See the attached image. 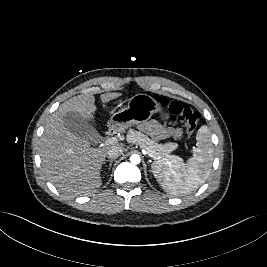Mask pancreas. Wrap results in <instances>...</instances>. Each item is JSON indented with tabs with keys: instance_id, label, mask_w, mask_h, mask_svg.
I'll list each match as a JSON object with an SVG mask.
<instances>
[{
	"instance_id": "1",
	"label": "pancreas",
	"mask_w": 267,
	"mask_h": 267,
	"mask_svg": "<svg viewBox=\"0 0 267 267\" xmlns=\"http://www.w3.org/2000/svg\"><path fill=\"white\" fill-rule=\"evenodd\" d=\"M130 143L138 144L142 149L152 153L154 159L170 158V152L177 148V143L168 142L160 144L141 132L130 129L127 135Z\"/></svg>"
}]
</instances>
